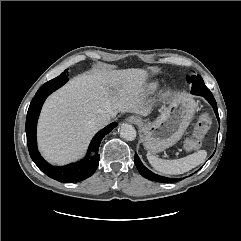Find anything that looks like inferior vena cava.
<instances>
[{
	"instance_id": "inferior-vena-cava-1",
	"label": "inferior vena cava",
	"mask_w": 241,
	"mask_h": 241,
	"mask_svg": "<svg viewBox=\"0 0 241 241\" xmlns=\"http://www.w3.org/2000/svg\"><path fill=\"white\" fill-rule=\"evenodd\" d=\"M115 116V114H103L98 116L93 124L94 126H96L97 128H102L106 125H108L109 123H111L112 118Z\"/></svg>"
}]
</instances>
